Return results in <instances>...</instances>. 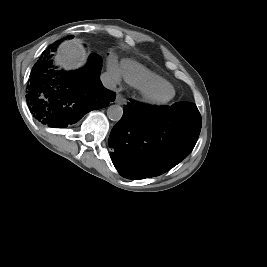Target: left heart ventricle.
<instances>
[{
	"label": "left heart ventricle",
	"instance_id": "1",
	"mask_svg": "<svg viewBox=\"0 0 267 267\" xmlns=\"http://www.w3.org/2000/svg\"><path fill=\"white\" fill-rule=\"evenodd\" d=\"M170 92H171V90L169 88H165V89L156 91L154 94H155V96L163 97V96L169 95Z\"/></svg>",
	"mask_w": 267,
	"mask_h": 267
}]
</instances>
